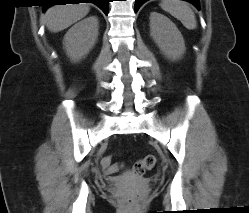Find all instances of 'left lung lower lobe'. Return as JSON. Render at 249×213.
Listing matches in <instances>:
<instances>
[{
  "label": "left lung lower lobe",
  "instance_id": "0a47b994",
  "mask_svg": "<svg viewBox=\"0 0 249 213\" xmlns=\"http://www.w3.org/2000/svg\"><path fill=\"white\" fill-rule=\"evenodd\" d=\"M147 0H136L135 1V12L138 11V9L140 8V6L146 2ZM188 2L193 3L198 9H199V1L198 0H186Z\"/></svg>",
  "mask_w": 249,
  "mask_h": 213
}]
</instances>
